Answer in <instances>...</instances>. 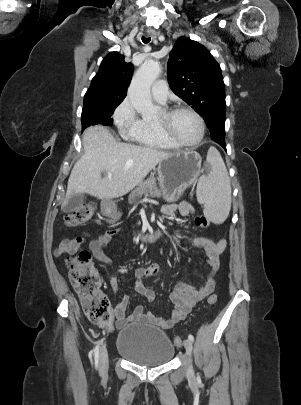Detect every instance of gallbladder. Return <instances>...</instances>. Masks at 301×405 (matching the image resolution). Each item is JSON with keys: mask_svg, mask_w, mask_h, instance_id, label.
I'll list each match as a JSON object with an SVG mask.
<instances>
[{"mask_svg": "<svg viewBox=\"0 0 301 405\" xmlns=\"http://www.w3.org/2000/svg\"><path fill=\"white\" fill-rule=\"evenodd\" d=\"M85 200L84 194H74L72 197L67 201L66 205L62 207L63 212L70 213L78 209Z\"/></svg>", "mask_w": 301, "mask_h": 405, "instance_id": "gallbladder-1", "label": "gallbladder"}]
</instances>
